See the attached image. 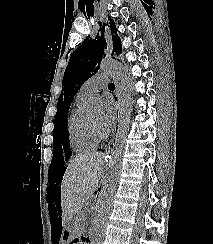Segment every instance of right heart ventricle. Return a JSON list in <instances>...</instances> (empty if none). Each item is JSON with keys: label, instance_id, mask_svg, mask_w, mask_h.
<instances>
[{"label": "right heart ventricle", "instance_id": "obj_1", "mask_svg": "<svg viewBox=\"0 0 213 244\" xmlns=\"http://www.w3.org/2000/svg\"><path fill=\"white\" fill-rule=\"evenodd\" d=\"M86 100V98L77 95L75 106L68 118L69 143L75 152L92 151L99 144V138L93 133L89 119L82 112V106Z\"/></svg>", "mask_w": 213, "mask_h": 244}]
</instances>
